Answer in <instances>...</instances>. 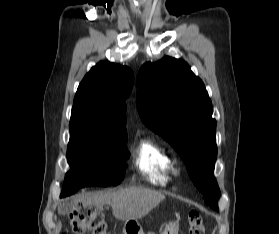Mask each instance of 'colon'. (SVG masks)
Instances as JSON below:
<instances>
[{
  "label": "colon",
  "instance_id": "5ec220e1",
  "mask_svg": "<svg viewBox=\"0 0 279 234\" xmlns=\"http://www.w3.org/2000/svg\"><path fill=\"white\" fill-rule=\"evenodd\" d=\"M189 234H206L204 221L197 211L188 216ZM110 234L103 214L93 208L80 207L71 215V230L67 234Z\"/></svg>",
  "mask_w": 279,
  "mask_h": 234
}]
</instances>
